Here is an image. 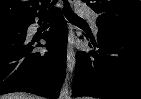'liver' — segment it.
<instances>
[{
  "label": "liver",
  "mask_w": 141,
  "mask_h": 99,
  "mask_svg": "<svg viewBox=\"0 0 141 99\" xmlns=\"http://www.w3.org/2000/svg\"><path fill=\"white\" fill-rule=\"evenodd\" d=\"M0 99H40L38 96L27 93H12L1 96Z\"/></svg>",
  "instance_id": "obj_1"
}]
</instances>
